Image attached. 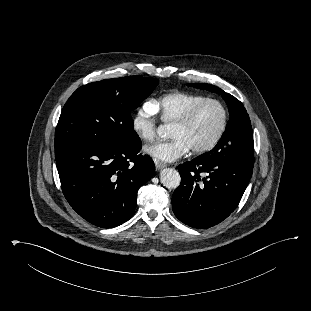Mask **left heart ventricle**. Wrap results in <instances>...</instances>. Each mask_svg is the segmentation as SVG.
<instances>
[{
	"instance_id": "left-heart-ventricle-1",
	"label": "left heart ventricle",
	"mask_w": 311,
	"mask_h": 311,
	"mask_svg": "<svg viewBox=\"0 0 311 311\" xmlns=\"http://www.w3.org/2000/svg\"><path fill=\"white\" fill-rule=\"evenodd\" d=\"M222 114L215 104L203 106L192 122L184 127L172 125L171 138H180L191 148H196L208 143L218 131Z\"/></svg>"
}]
</instances>
